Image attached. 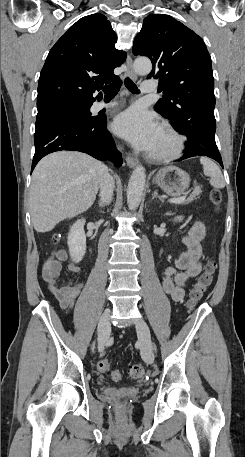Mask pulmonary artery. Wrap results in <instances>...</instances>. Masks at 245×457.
I'll list each match as a JSON object with an SVG mask.
<instances>
[{
	"label": "pulmonary artery",
	"mask_w": 245,
	"mask_h": 457,
	"mask_svg": "<svg viewBox=\"0 0 245 457\" xmlns=\"http://www.w3.org/2000/svg\"><path fill=\"white\" fill-rule=\"evenodd\" d=\"M157 81L156 80H140L139 82V93L140 95H156L157 93ZM115 103H105L103 101L96 102L93 105V112H99L104 108H111Z\"/></svg>",
	"instance_id": "obj_1"
}]
</instances>
